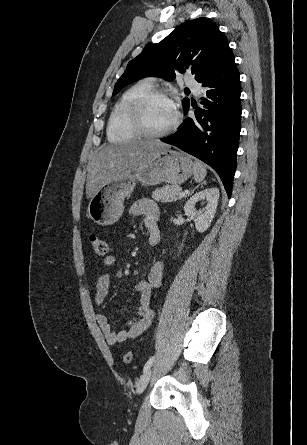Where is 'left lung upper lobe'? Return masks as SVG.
Instances as JSON below:
<instances>
[{
	"mask_svg": "<svg viewBox=\"0 0 307 445\" xmlns=\"http://www.w3.org/2000/svg\"><path fill=\"white\" fill-rule=\"evenodd\" d=\"M233 56L226 38L210 19L189 20L131 60L115 84L113 95L147 76L173 80L178 73L191 72L202 83ZM182 105L187 110L189 99L185 98Z\"/></svg>",
	"mask_w": 307,
	"mask_h": 445,
	"instance_id": "obj_1",
	"label": "left lung upper lobe"
}]
</instances>
